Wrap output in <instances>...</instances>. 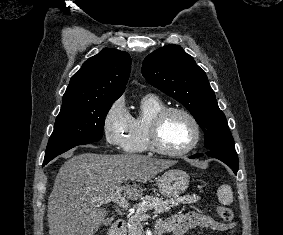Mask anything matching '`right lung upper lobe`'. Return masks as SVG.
<instances>
[{
	"mask_svg": "<svg viewBox=\"0 0 283 235\" xmlns=\"http://www.w3.org/2000/svg\"><path fill=\"white\" fill-rule=\"evenodd\" d=\"M130 68L128 53L105 48L72 76L62 102L115 101L125 90Z\"/></svg>",
	"mask_w": 283,
	"mask_h": 235,
	"instance_id": "1",
	"label": "right lung upper lobe"
}]
</instances>
